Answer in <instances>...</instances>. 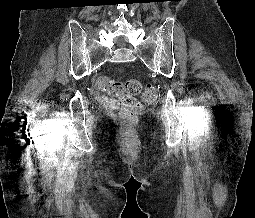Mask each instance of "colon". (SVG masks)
Here are the masks:
<instances>
[{"label":"colon","mask_w":255,"mask_h":218,"mask_svg":"<svg viewBox=\"0 0 255 218\" xmlns=\"http://www.w3.org/2000/svg\"><path fill=\"white\" fill-rule=\"evenodd\" d=\"M98 86L116 98L121 117L125 121L132 120L141 111V105L135 99L136 95L142 92L144 102H153L157 98V91L153 85L148 84L143 88L141 81L135 78L125 82L101 78L98 81Z\"/></svg>","instance_id":"1"}]
</instances>
